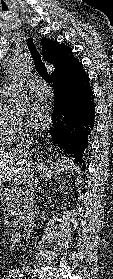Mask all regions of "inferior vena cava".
Here are the masks:
<instances>
[{
	"label": "inferior vena cava",
	"mask_w": 113,
	"mask_h": 279,
	"mask_svg": "<svg viewBox=\"0 0 113 279\" xmlns=\"http://www.w3.org/2000/svg\"><path fill=\"white\" fill-rule=\"evenodd\" d=\"M33 137L26 135L21 139V142L17 145L16 150L19 153L27 156L29 154L30 147L32 145ZM24 187V204H23V236L27 242L30 239L33 229V218H34V189L37 186V180L34 179L33 173L29 172L25 180ZM24 257V256H23ZM26 263V262H24Z\"/></svg>",
	"instance_id": "obj_1"
}]
</instances>
